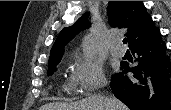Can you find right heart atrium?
<instances>
[{
    "label": "right heart atrium",
    "mask_w": 171,
    "mask_h": 110,
    "mask_svg": "<svg viewBox=\"0 0 171 110\" xmlns=\"http://www.w3.org/2000/svg\"><path fill=\"white\" fill-rule=\"evenodd\" d=\"M71 79L79 91L88 94L106 84V78L99 62L75 56Z\"/></svg>",
    "instance_id": "1"
}]
</instances>
